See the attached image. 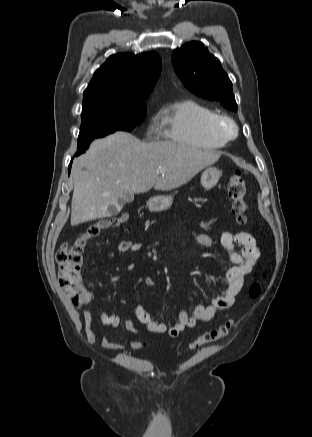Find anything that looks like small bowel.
I'll return each mask as SVG.
<instances>
[{"mask_svg":"<svg viewBox=\"0 0 312 437\" xmlns=\"http://www.w3.org/2000/svg\"><path fill=\"white\" fill-rule=\"evenodd\" d=\"M191 245L212 247L213 239L205 233H190L188 235ZM221 245L228 253L233 266L227 271L223 279V291L207 305H197L192 314L180 311L178 322L171 327L154 320V318L139 304L133 307V313L143 324L146 331L151 333H167L171 337H177L183 330L193 328L198 321H210L218 311L230 308L237 294L243 285L244 276L250 273L260 258V250L256 241L250 233L234 232L231 229L225 230L220 238ZM143 249V244L131 240H123L118 244L117 250L120 253L138 252ZM140 282L146 286L153 287L155 281L151 277H143ZM91 297L89 296V300ZM83 320L87 341L92 345H100L108 350H124L125 346L110 341L107 337L98 336L93 327L92 314L89 309L83 311ZM100 321L104 325L117 327L122 322L131 332H138L139 329L129 320L122 319L116 314L101 313ZM128 346L132 349H141L144 343L140 341H129Z\"/></svg>","mask_w":312,"mask_h":437,"instance_id":"c3829d8e","label":"small bowel"}]
</instances>
